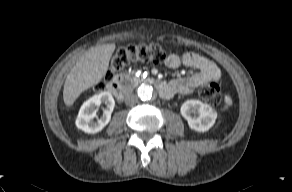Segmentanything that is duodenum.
I'll return each mask as SVG.
<instances>
[{
	"instance_id": "obj_1",
	"label": "duodenum",
	"mask_w": 292,
	"mask_h": 192,
	"mask_svg": "<svg viewBox=\"0 0 292 192\" xmlns=\"http://www.w3.org/2000/svg\"><path fill=\"white\" fill-rule=\"evenodd\" d=\"M156 86L162 97H166L170 94V86L167 82L160 81ZM109 89L118 100H122L128 92L126 79L123 77L115 78L111 82Z\"/></svg>"
}]
</instances>
